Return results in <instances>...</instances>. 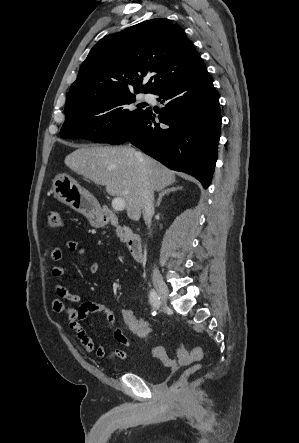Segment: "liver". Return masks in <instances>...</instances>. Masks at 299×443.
Instances as JSON below:
<instances>
[{"mask_svg": "<svg viewBox=\"0 0 299 443\" xmlns=\"http://www.w3.org/2000/svg\"><path fill=\"white\" fill-rule=\"evenodd\" d=\"M129 146H81L65 157L71 170L106 187L111 196L125 201L127 215L138 221L141 217L142 168L156 191L176 181L175 172Z\"/></svg>", "mask_w": 299, "mask_h": 443, "instance_id": "obj_1", "label": "liver"}]
</instances>
